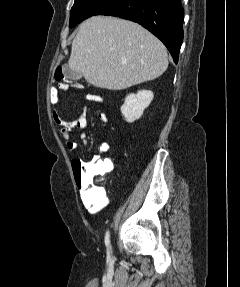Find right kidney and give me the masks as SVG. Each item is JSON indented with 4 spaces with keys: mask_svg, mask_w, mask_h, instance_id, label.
Instances as JSON below:
<instances>
[{
    "mask_svg": "<svg viewBox=\"0 0 240 287\" xmlns=\"http://www.w3.org/2000/svg\"><path fill=\"white\" fill-rule=\"evenodd\" d=\"M154 94L149 90L138 91L137 94H129L121 106V113L128 123L138 120L153 100Z\"/></svg>",
    "mask_w": 240,
    "mask_h": 287,
    "instance_id": "obj_1",
    "label": "right kidney"
}]
</instances>
